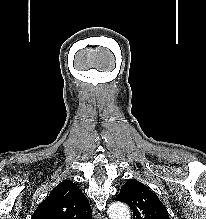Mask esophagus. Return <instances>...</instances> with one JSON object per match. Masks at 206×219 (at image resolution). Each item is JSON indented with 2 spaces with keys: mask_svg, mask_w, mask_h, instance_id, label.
<instances>
[{
  "mask_svg": "<svg viewBox=\"0 0 206 219\" xmlns=\"http://www.w3.org/2000/svg\"><path fill=\"white\" fill-rule=\"evenodd\" d=\"M93 216H94V219H107L105 216L100 215V213H98L96 209H93Z\"/></svg>",
  "mask_w": 206,
  "mask_h": 219,
  "instance_id": "34e87169",
  "label": "esophagus"
}]
</instances>
